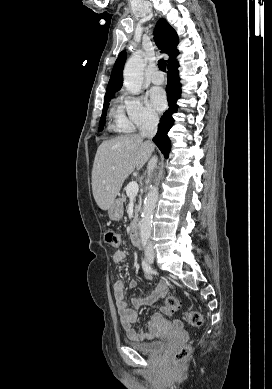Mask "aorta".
Here are the masks:
<instances>
[{"instance_id":"aorta-1","label":"aorta","mask_w":272,"mask_h":389,"mask_svg":"<svg viewBox=\"0 0 272 389\" xmlns=\"http://www.w3.org/2000/svg\"><path fill=\"white\" fill-rule=\"evenodd\" d=\"M145 63L142 52L137 51L128 59L123 72L124 86L132 94H139L143 83ZM158 199V188L153 187L147 194L140 221V238L147 242L151 236L153 212Z\"/></svg>"}]
</instances>
